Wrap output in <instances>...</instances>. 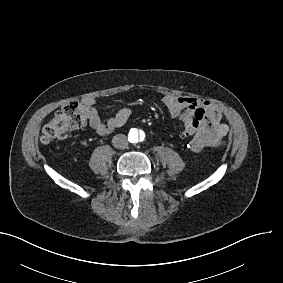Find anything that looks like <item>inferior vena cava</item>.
I'll list each match as a JSON object with an SVG mask.
<instances>
[{
  "mask_svg": "<svg viewBox=\"0 0 283 283\" xmlns=\"http://www.w3.org/2000/svg\"><path fill=\"white\" fill-rule=\"evenodd\" d=\"M112 144L117 149H125L128 146V139L124 134H117L113 137Z\"/></svg>",
  "mask_w": 283,
  "mask_h": 283,
  "instance_id": "1",
  "label": "inferior vena cava"
}]
</instances>
